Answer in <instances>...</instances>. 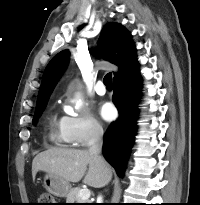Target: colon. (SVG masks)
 <instances>
[{
  "label": "colon",
  "instance_id": "colon-1",
  "mask_svg": "<svg viewBox=\"0 0 200 205\" xmlns=\"http://www.w3.org/2000/svg\"><path fill=\"white\" fill-rule=\"evenodd\" d=\"M54 199L52 195L43 193L39 196L38 205H53Z\"/></svg>",
  "mask_w": 200,
  "mask_h": 205
}]
</instances>
